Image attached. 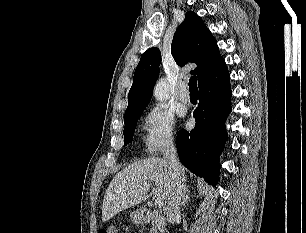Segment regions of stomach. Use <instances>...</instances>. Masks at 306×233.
Listing matches in <instances>:
<instances>
[{"label":"stomach","mask_w":306,"mask_h":233,"mask_svg":"<svg viewBox=\"0 0 306 233\" xmlns=\"http://www.w3.org/2000/svg\"><path fill=\"white\" fill-rule=\"evenodd\" d=\"M131 220L134 224H140L143 221V215L139 210L133 211L130 214Z\"/></svg>","instance_id":"obj_1"}]
</instances>
